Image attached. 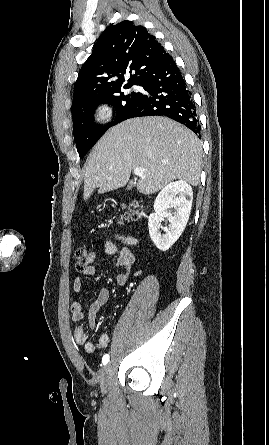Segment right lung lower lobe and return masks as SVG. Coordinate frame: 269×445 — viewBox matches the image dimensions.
I'll list each match as a JSON object with an SVG mask.
<instances>
[{
  "label": "right lung lower lobe",
  "instance_id": "98d812e1",
  "mask_svg": "<svg viewBox=\"0 0 269 445\" xmlns=\"http://www.w3.org/2000/svg\"><path fill=\"white\" fill-rule=\"evenodd\" d=\"M139 85L147 93H141L126 119L167 116L200 135L201 127L192 93L171 56L148 71Z\"/></svg>",
  "mask_w": 269,
  "mask_h": 445
}]
</instances>
